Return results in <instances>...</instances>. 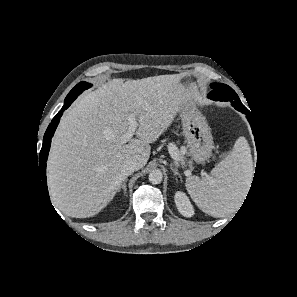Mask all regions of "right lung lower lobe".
Segmentation results:
<instances>
[{"label": "right lung lower lobe", "mask_w": 297, "mask_h": 297, "mask_svg": "<svg viewBox=\"0 0 297 297\" xmlns=\"http://www.w3.org/2000/svg\"><path fill=\"white\" fill-rule=\"evenodd\" d=\"M70 106L69 103L64 104V106L62 107V109L58 112V114L52 119V122L49 124L44 138H43V144H42V148L40 151V155H39V170H40V175L42 178V182H43V187L45 188L47 194H48V190H47V183H46V161H47V156H48V152L50 149V145H51V138L55 132V129L60 121V117L63 114V111L65 109H67Z\"/></svg>", "instance_id": "98d812e1"}]
</instances>
